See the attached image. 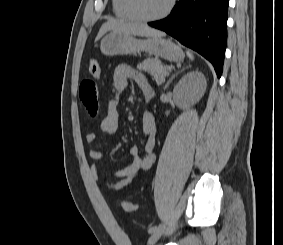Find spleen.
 Returning <instances> with one entry per match:
<instances>
[{"label":"spleen","instance_id":"obj_1","mask_svg":"<svg viewBox=\"0 0 283 245\" xmlns=\"http://www.w3.org/2000/svg\"><path fill=\"white\" fill-rule=\"evenodd\" d=\"M187 56H188L191 60L194 59V56H193V54H192L190 51H187Z\"/></svg>","mask_w":283,"mask_h":245}]
</instances>
